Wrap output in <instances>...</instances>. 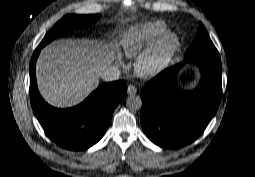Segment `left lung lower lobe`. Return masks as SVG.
Wrapping results in <instances>:
<instances>
[{
  "label": "left lung lower lobe",
  "mask_w": 255,
  "mask_h": 177,
  "mask_svg": "<svg viewBox=\"0 0 255 177\" xmlns=\"http://www.w3.org/2000/svg\"><path fill=\"white\" fill-rule=\"evenodd\" d=\"M185 62L195 63L202 79L193 93L182 92L176 75ZM219 55L186 58L165 69L141 89V124L148 138L158 146L177 148L193 142L215 115L221 98Z\"/></svg>",
  "instance_id": "left-lung-lower-lobe-1"
}]
</instances>
